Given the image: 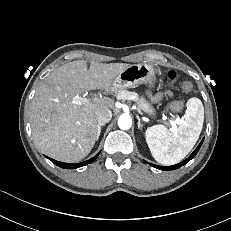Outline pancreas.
<instances>
[{
  "label": "pancreas",
  "mask_w": 231,
  "mask_h": 231,
  "mask_svg": "<svg viewBox=\"0 0 231 231\" xmlns=\"http://www.w3.org/2000/svg\"><path fill=\"white\" fill-rule=\"evenodd\" d=\"M117 99L127 100L130 99L134 93L125 89H116L115 90Z\"/></svg>",
  "instance_id": "pancreas-1"
}]
</instances>
